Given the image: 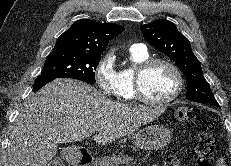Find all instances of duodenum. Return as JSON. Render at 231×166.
<instances>
[{
    "mask_svg": "<svg viewBox=\"0 0 231 166\" xmlns=\"http://www.w3.org/2000/svg\"><path fill=\"white\" fill-rule=\"evenodd\" d=\"M64 160L71 166H90L92 156L84 150H68L64 153Z\"/></svg>",
    "mask_w": 231,
    "mask_h": 166,
    "instance_id": "duodenum-1",
    "label": "duodenum"
}]
</instances>
